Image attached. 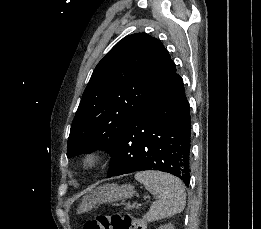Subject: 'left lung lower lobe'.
<instances>
[{
	"instance_id": "1",
	"label": "left lung lower lobe",
	"mask_w": 261,
	"mask_h": 229,
	"mask_svg": "<svg viewBox=\"0 0 261 229\" xmlns=\"http://www.w3.org/2000/svg\"><path fill=\"white\" fill-rule=\"evenodd\" d=\"M191 120L182 78L175 72L142 104L111 154L107 178L159 170L190 181Z\"/></svg>"
}]
</instances>
